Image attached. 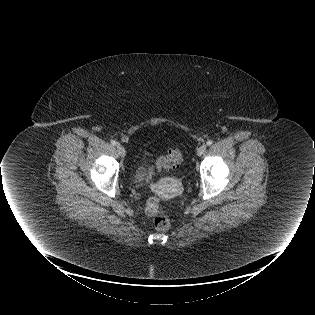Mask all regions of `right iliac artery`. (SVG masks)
I'll return each mask as SVG.
<instances>
[{"instance_id":"1","label":"right iliac artery","mask_w":315,"mask_h":315,"mask_svg":"<svg viewBox=\"0 0 315 315\" xmlns=\"http://www.w3.org/2000/svg\"><path fill=\"white\" fill-rule=\"evenodd\" d=\"M111 144H112L113 146H116L118 143H117L115 140H111Z\"/></svg>"}]
</instances>
